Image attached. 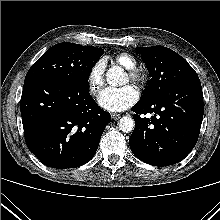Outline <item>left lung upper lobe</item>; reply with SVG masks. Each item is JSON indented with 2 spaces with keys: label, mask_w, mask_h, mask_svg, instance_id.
Returning a JSON list of instances; mask_svg holds the SVG:
<instances>
[{
  "label": "left lung upper lobe",
  "mask_w": 220,
  "mask_h": 220,
  "mask_svg": "<svg viewBox=\"0 0 220 220\" xmlns=\"http://www.w3.org/2000/svg\"><path fill=\"white\" fill-rule=\"evenodd\" d=\"M149 70L148 81L141 103L149 102L184 82L199 80L189 63L173 50L164 46L137 47Z\"/></svg>",
  "instance_id": "1"
}]
</instances>
